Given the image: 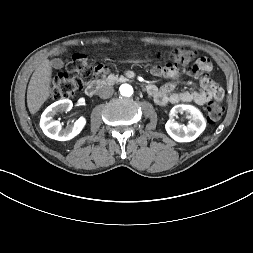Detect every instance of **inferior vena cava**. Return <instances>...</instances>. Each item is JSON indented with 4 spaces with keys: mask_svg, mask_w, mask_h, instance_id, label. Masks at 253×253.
<instances>
[{
    "mask_svg": "<svg viewBox=\"0 0 253 253\" xmlns=\"http://www.w3.org/2000/svg\"><path fill=\"white\" fill-rule=\"evenodd\" d=\"M114 93V88L112 86H103L100 90H99V97L103 98V99H107L110 98Z\"/></svg>",
    "mask_w": 253,
    "mask_h": 253,
    "instance_id": "602c4592",
    "label": "inferior vena cava"
}]
</instances>
